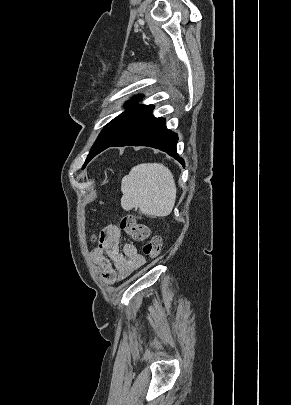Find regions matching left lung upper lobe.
Returning <instances> with one entry per match:
<instances>
[{
    "label": "left lung upper lobe",
    "mask_w": 291,
    "mask_h": 405,
    "mask_svg": "<svg viewBox=\"0 0 291 405\" xmlns=\"http://www.w3.org/2000/svg\"><path fill=\"white\" fill-rule=\"evenodd\" d=\"M142 96H137L136 99H140ZM128 104H133L129 102ZM137 110V106L128 107V110L114 118L111 122H109L105 128L102 130L100 135L98 136L96 142L94 143L93 147L90 150L89 155L85 161V165L91 160L97 153L105 148L107 145L112 144L116 141L122 133L126 130L128 125L130 124L135 112Z\"/></svg>",
    "instance_id": "obj_1"
}]
</instances>
